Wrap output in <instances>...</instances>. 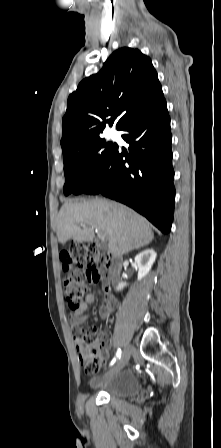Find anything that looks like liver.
<instances>
[{"instance_id": "obj_1", "label": "liver", "mask_w": 221, "mask_h": 448, "mask_svg": "<svg viewBox=\"0 0 221 448\" xmlns=\"http://www.w3.org/2000/svg\"><path fill=\"white\" fill-rule=\"evenodd\" d=\"M94 229L108 241V249L115 256L144 247L154 237L145 218L117 202L95 199L61 207L57 217L59 243L69 239L90 242L95 237Z\"/></svg>"}]
</instances>
